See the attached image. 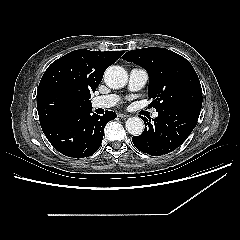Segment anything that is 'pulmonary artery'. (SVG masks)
Here are the masks:
<instances>
[{"instance_id":"obj_1","label":"pulmonary artery","mask_w":240,"mask_h":240,"mask_svg":"<svg viewBox=\"0 0 240 240\" xmlns=\"http://www.w3.org/2000/svg\"><path fill=\"white\" fill-rule=\"evenodd\" d=\"M148 81V73L142 68H133L129 73L128 90L131 92L142 89ZM121 97L117 94H108L95 97L92 100V106L94 108H109L119 104ZM154 118L158 116V112H154L152 115Z\"/></svg>"}]
</instances>
